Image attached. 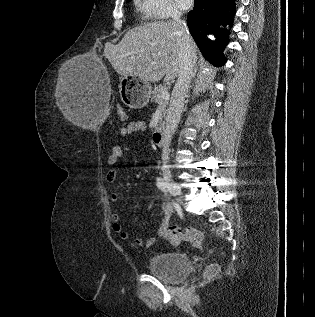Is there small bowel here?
Wrapping results in <instances>:
<instances>
[{
  "label": "small bowel",
  "mask_w": 315,
  "mask_h": 317,
  "mask_svg": "<svg viewBox=\"0 0 315 317\" xmlns=\"http://www.w3.org/2000/svg\"><path fill=\"white\" fill-rule=\"evenodd\" d=\"M147 130V125L144 121H132L128 123L126 126L119 128L118 134L121 137H129L135 133L145 132ZM129 147L126 145H116L113 147L111 154L107 158V164L112 168L108 171L106 175V180L109 183H113L118 175V168L113 167L115 163L119 160L123 159L125 155L128 153ZM120 199V195L117 192H113L111 194V200L113 202H117ZM162 210L164 213V218L161 222V225L158 229V235H163L166 229L169 226L170 218L172 215V207L170 204L164 202L162 203ZM112 220V229L115 233H117L122 240H129L131 238V234L124 229V226L121 223L120 215L117 212H113L111 214ZM156 237H151L147 240L142 237L134 238V244L140 247L149 248L154 244Z\"/></svg>",
  "instance_id": "small-bowel-1"
}]
</instances>
